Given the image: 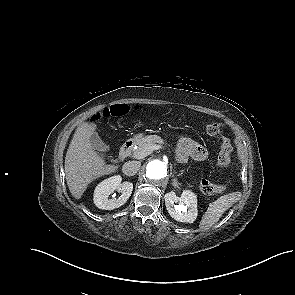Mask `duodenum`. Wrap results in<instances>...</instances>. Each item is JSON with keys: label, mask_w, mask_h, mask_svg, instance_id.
<instances>
[{"label": "duodenum", "mask_w": 295, "mask_h": 295, "mask_svg": "<svg viewBox=\"0 0 295 295\" xmlns=\"http://www.w3.org/2000/svg\"><path fill=\"white\" fill-rule=\"evenodd\" d=\"M134 141L133 140H127L121 147L120 149V152H119V156L121 159H125L127 158L132 150H133V147H134Z\"/></svg>", "instance_id": "duodenum-1"}]
</instances>
